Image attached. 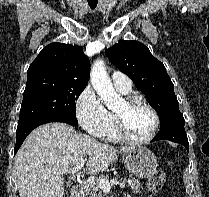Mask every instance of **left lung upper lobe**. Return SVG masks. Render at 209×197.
I'll return each mask as SVG.
<instances>
[{
  "mask_svg": "<svg viewBox=\"0 0 209 197\" xmlns=\"http://www.w3.org/2000/svg\"><path fill=\"white\" fill-rule=\"evenodd\" d=\"M105 53L147 96L149 104L159 115L160 131L173 125H184L174 85L163 63L151 54L148 47L136 40H121Z\"/></svg>",
  "mask_w": 209,
  "mask_h": 197,
  "instance_id": "5c2ea615",
  "label": "left lung upper lobe"
}]
</instances>
